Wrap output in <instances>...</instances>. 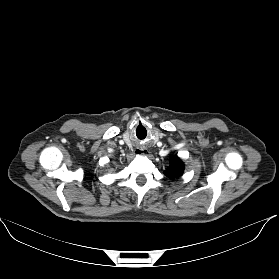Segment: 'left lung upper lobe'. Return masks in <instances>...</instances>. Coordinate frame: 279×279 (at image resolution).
I'll return each mask as SVG.
<instances>
[{"instance_id": "5c2ea615", "label": "left lung upper lobe", "mask_w": 279, "mask_h": 279, "mask_svg": "<svg viewBox=\"0 0 279 279\" xmlns=\"http://www.w3.org/2000/svg\"><path fill=\"white\" fill-rule=\"evenodd\" d=\"M183 171H184V164L181 162V160L178 157L174 156L171 159L170 167L166 170L165 174L171 179H174L179 175H182Z\"/></svg>"}]
</instances>
